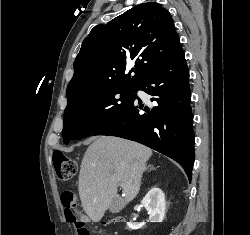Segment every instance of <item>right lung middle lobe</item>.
Instances as JSON below:
<instances>
[{"label": "right lung middle lobe", "instance_id": "right-lung-middle-lobe-1", "mask_svg": "<svg viewBox=\"0 0 250 235\" xmlns=\"http://www.w3.org/2000/svg\"><path fill=\"white\" fill-rule=\"evenodd\" d=\"M135 92L136 87H110L69 102L63 117L64 143L93 135L129 104Z\"/></svg>", "mask_w": 250, "mask_h": 235}]
</instances>
